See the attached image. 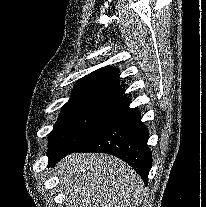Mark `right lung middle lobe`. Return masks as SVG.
I'll return each instance as SVG.
<instances>
[{"label": "right lung middle lobe", "mask_w": 206, "mask_h": 207, "mask_svg": "<svg viewBox=\"0 0 206 207\" xmlns=\"http://www.w3.org/2000/svg\"><path fill=\"white\" fill-rule=\"evenodd\" d=\"M129 103L127 97L67 102L50 133L48 153L79 146L123 114Z\"/></svg>", "instance_id": "1"}]
</instances>
